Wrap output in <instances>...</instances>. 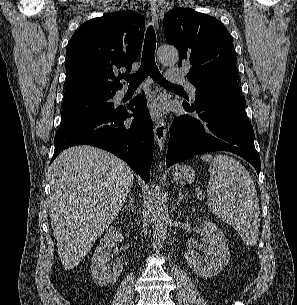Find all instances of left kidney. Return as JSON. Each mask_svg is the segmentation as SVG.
Listing matches in <instances>:
<instances>
[{"mask_svg":"<svg viewBox=\"0 0 297 305\" xmlns=\"http://www.w3.org/2000/svg\"><path fill=\"white\" fill-rule=\"evenodd\" d=\"M204 236V260L194 251L187 250L185 259L192 270L201 278H211L219 274L230 260L226 238L218 226L210 220L202 224Z\"/></svg>","mask_w":297,"mask_h":305,"instance_id":"left-kidney-1","label":"left kidney"}]
</instances>
